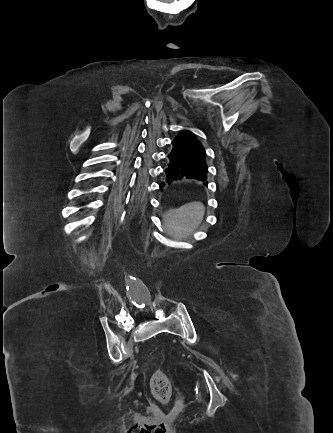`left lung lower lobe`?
Wrapping results in <instances>:
<instances>
[{
  "instance_id": "left-lung-lower-lobe-1",
  "label": "left lung lower lobe",
  "mask_w": 333,
  "mask_h": 433,
  "mask_svg": "<svg viewBox=\"0 0 333 433\" xmlns=\"http://www.w3.org/2000/svg\"><path fill=\"white\" fill-rule=\"evenodd\" d=\"M172 145L165 168L166 183L170 184L181 179L205 181L208 173L205 156L176 138Z\"/></svg>"
}]
</instances>
